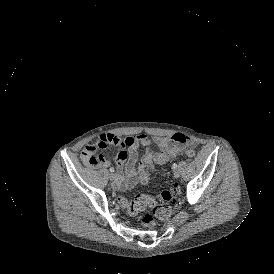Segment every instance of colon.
<instances>
[{"label": "colon", "instance_id": "colon-1", "mask_svg": "<svg viewBox=\"0 0 274 274\" xmlns=\"http://www.w3.org/2000/svg\"><path fill=\"white\" fill-rule=\"evenodd\" d=\"M90 149L85 152H100L105 147H98L97 138L92 139L90 142ZM186 158L194 160L197 157L195 150L190 149L185 153ZM147 174L146 171L142 172V175ZM173 191H163L158 196H152L149 194H138L133 199H129L124 195L117 197V203L126 212L130 214H141V222L144 225H153L156 220H166L172 212L169 202L173 200Z\"/></svg>", "mask_w": 274, "mask_h": 274}]
</instances>
